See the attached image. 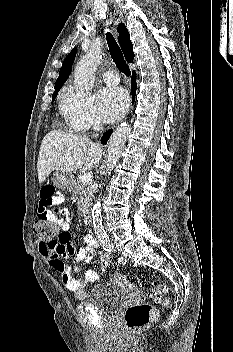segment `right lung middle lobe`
<instances>
[{
	"label": "right lung middle lobe",
	"instance_id": "dd1d6c3e",
	"mask_svg": "<svg viewBox=\"0 0 233 352\" xmlns=\"http://www.w3.org/2000/svg\"><path fill=\"white\" fill-rule=\"evenodd\" d=\"M58 91H59V90H58ZM58 91H55V92L53 93V95H52V101H53V100H55V98H56V96H57Z\"/></svg>",
	"mask_w": 233,
	"mask_h": 352
}]
</instances>
